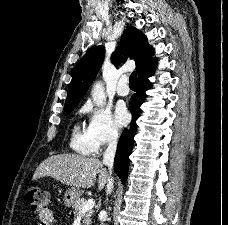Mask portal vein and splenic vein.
<instances>
[{"mask_svg":"<svg viewBox=\"0 0 228 225\" xmlns=\"http://www.w3.org/2000/svg\"><path fill=\"white\" fill-rule=\"evenodd\" d=\"M94 205H95L94 199H88V201H85L80 211V215H84V213H87V211H90V209H93Z\"/></svg>","mask_w":228,"mask_h":225,"instance_id":"obj_1","label":"portal vein and splenic vein"}]
</instances>
